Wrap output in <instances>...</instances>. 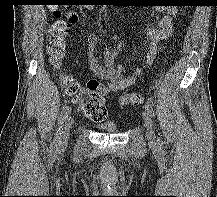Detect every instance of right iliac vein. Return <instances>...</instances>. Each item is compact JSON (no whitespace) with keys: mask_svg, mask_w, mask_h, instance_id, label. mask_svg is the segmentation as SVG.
Instances as JSON below:
<instances>
[{"mask_svg":"<svg viewBox=\"0 0 217 197\" xmlns=\"http://www.w3.org/2000/svg\"><path fill=\"white\" fill-rule=\"evenodd\" d=\"M72 124H73L72 117H68L64 124L62 135L59 140L60 146H65L68 143L69 136H70V129H71Z\"/></svg>","mask_w":217,"mask_h":197,"instance_id":"63e3f726","label":"right iliac vein"}]
</instances>
